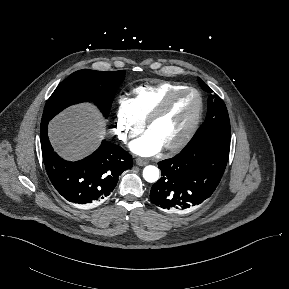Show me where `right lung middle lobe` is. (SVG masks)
Listing matches in <instances>:
<instances>
[{"instance_id":"obj_1","label":"right lung middle lobe","mask_w":289,"mask_h":289,"mask_svg":"<svg viewBox=\"0 0 289 289\" xmlns=\"http://www.w3.org/2000/svg\"><path fill=\"white\" fill-rule=\"evenodd\" d=\"M125 71L101 72L89 69L72 73L61 82L48 99L41 124L49 122L66 107L93 100L108 117L117 88L124 80Z\"/></svg>"}]
</instances>
